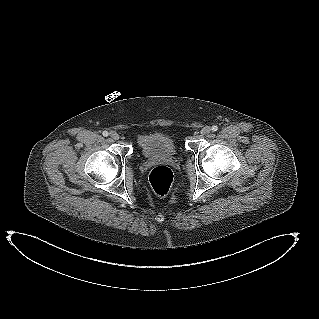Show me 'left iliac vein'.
I'll use <instances>...</instances> for the list:
<instances>
[{
  "instance_id": "1",
  "label": "left iliac vein",
  "mask_w": 319,
  "mask_h": 319,
  "mask_svg": "<svg viewBox=\"0 0 319 319\" xmlns=\"http://www.w3.org/2000/svg\"><path fill=\"white\" fill-rule=\"evenodd\" d=\"M210 132H211V128H210L209 126H204V127L201 129V134H202V135H208Z\"/></svg>"
}]
</instances>
